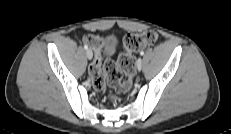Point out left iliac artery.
Returning <instances> with one entry per match:
<instances>
[{"label":"left iliac artery","mask_w":231,"mask_h":134,"mask_svg":"<svg viewBox=\"0 0 231 134\" xmlns=\"http://www.w3.org/2000/svg\"><path fill=\"white\" fill-rule=\"evenodd\" d=\"M140 55L143 56V55H144V51H141V52H140Z\"/></svg>","instance_id":"left-iliac-artery-1"}]
</instances>
